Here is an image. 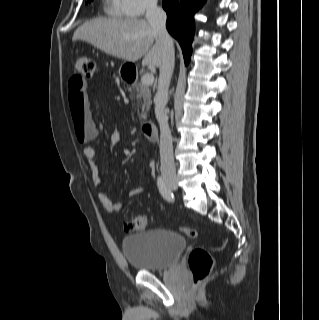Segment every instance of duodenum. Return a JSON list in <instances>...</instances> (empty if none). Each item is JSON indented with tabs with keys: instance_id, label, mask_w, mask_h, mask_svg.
Here are the masks:
<instances>
[{
	"instance_id": "410a0bca",
	"label": "duodenum",
	"mask_w": 319,
	"mask_h": 320,
	"mask_svg": "<svg viewBox=\"0 0 319 320\" xmlns=\"http://www.w3.org/2000/svg\"><path fill=\"white\" fill-rule=\"evenodd\" d=\"M127 79L129 81H132L134 79V76L129 73L127 74ZM142 130L148 141L155 142L157 140L158 132L154 123H145L142 127Z\"/></svg>"
}]
</instances>
